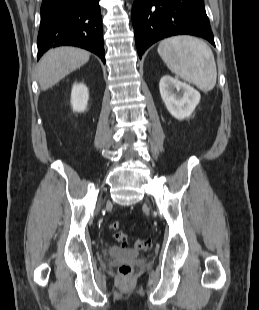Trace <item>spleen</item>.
<instances>
[{"label":"spleen","instance_id":"obj_1","mask_svg":"<svg viewBox=\"0 0 259 310\" xmlns=\"http://www.w3.org/2000/svg\"><path fill=\"white\" fill-rule=\"evenodd\" d=\"M158 54L167 67L181 79L202 91L216 85L217 69L211 48L192 36H176L160 42Z\"/></svg>","mask_w":259,"mask_h":310}]
</instances>
